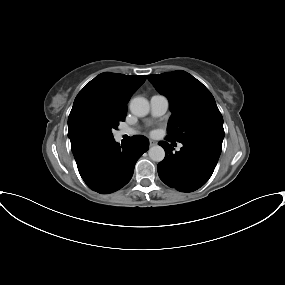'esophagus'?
<instances>
[{
	"mask_svg": "<svg viewBox=\"0 0 285 285\" xmlns=\"http://www.w3.org/2000/svg\"><path fill=\"white\" fill-rule=\"evenodd\" d=\"M149 143H150V146H151V147H152V146H155V145L157 144V142L154 141V140H149Z\"/></svg>",
	"mask_w": 285,
	"mask_h": 285,
	"instance_id": "esophagus-1",
	"label": "esophagus"
}]
</instances>
